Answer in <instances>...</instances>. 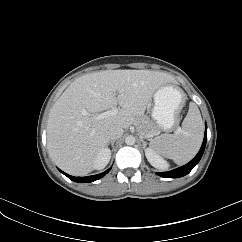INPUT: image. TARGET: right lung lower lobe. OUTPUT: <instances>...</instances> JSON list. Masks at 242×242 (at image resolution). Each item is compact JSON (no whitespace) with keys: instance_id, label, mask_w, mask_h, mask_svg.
<instances>
[{"instance_id":"obj_1","label":"right lung lower lobe","mask_w":242,"mask_h":242,"mask_svg":"<svg viewBox=\"0 0 242 242\" xmlns=\"http://www.w3.org/2000/svg\"><path fill=\"white\" fill-rule=\"evenodd\" d=\"M110 171V168L108 170H106L103 173L97 174V175H92V176H87V177H73L70 176L64 172H62L64 175H66L69 179H71L72 181L75 182H80V183H88V182H93L95 180H98L100 178H102L104 175H106L108 172Z\"/></svg>"}]
</instances>
